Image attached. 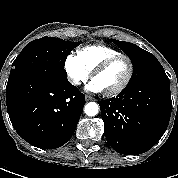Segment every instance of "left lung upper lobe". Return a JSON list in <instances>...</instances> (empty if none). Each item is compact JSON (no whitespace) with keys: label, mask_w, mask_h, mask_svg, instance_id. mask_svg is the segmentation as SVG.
Returning a JSON list of instances; mask_svg holds the SVG:
<instances>
[{"label":"left lung upper lobe","mask_w":178,"mask_h":178,"mask_svg":"<svg viewBox=\"0 0 178 178\" xmlns=\"http://www.w3.org/2000/svg\"><path fill=\"white\" fill-rule=\"evenodd\" d=\"M112 41L128 55L133 64V75L127 87L145 81L168 79L164 68L153 54L133 43L116 39H112Z\"/></svg>","instance_id":"5c2ea615"}]
</instances>
